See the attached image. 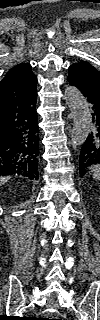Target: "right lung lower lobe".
<instances>
[{
    "label": "right lung lower lobe",
    "mask_w": 100,
    "mask_h": 320,
    "mask_svg": "<svg viewBox=\"0 0 100 320\" xmlns=\"http://www.w3.org/2000/svg\"><path fill=\"white\" fill-rule=\"evenodd\" d=\"M36 99L35 87L22 98L0 102V175L39 178Z\"/></svg>",
    "instance_id": "1"
}]
</instances>
